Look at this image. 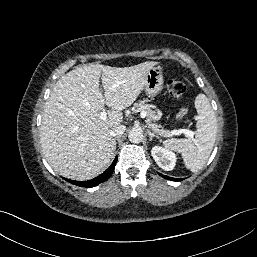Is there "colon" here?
<instances>
[{
  "label": "colon",
  "instance_id": "obj_1",
  "mask_svg": "<svg viewBox=\"0 0 257 257\" xmlns=\"http://www.w3.org/2000/svg\"><path fill=\"white\" fill-rule=\"evenodd\" d=\"M167 91L172 99H179L184 95L186 86L182 81L176 78H170L167 82ZM187 112V107L183 106L178 112V118L184 119L187 115Z\"/></svg>",
  "mask_w": 257,
  "mask_h": 257
}]
</instances>
